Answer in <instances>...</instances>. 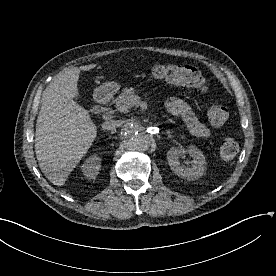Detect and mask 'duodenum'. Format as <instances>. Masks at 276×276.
<instances>
[{
    "mask_svg": "<svg viewBox=\"0 0 276 276\" xmlns=\"http://www.w3.org/2000/svg\"><path fill=\"white\" fill-rule=\"evenodd\" d=\"M110 99H111V94L106 90H101L96 95V101L102 105L107 104Z\"/></svg>",
    "mask_w": 276,
    "mask_h": 276,
    "instance_id": "410a0bca",
    "label": "duodenum"
}]
</instances>
